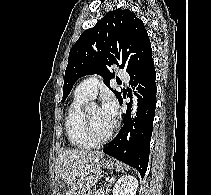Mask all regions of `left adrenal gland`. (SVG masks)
<instances>
[{
	"mask_svg": "<svg viewBox=\"0 0 211 195\" xmlns=\"http://www.w3.org/2000/svg\"><path fill=\"white\" fill-rule=\"evenodd\" d=\"M114 180H115V176L111 177V179L108 181V186H107L106 192H105L106 195L110 192V186H111L112 182H114Z\"/></svg>",
	"mask_w": 211,
	"mask_h": 195,
	"instance_id": "obj_1",
	"label": "left adrenal gland"
}]
</instances>
